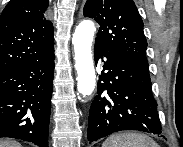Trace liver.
Instances as JSON below:
<instances>
[{"mask_svg":"<svg viewBox=\"0 0 183 147\" xmlns=\"http://www.w3.org/2000/svg\"><path fill=\"white\" fill-rule=\"evenodd\" d=\"M0 147H21V145L14 140H0Z\"/></svg>","mask_w":183,"mask_h":147,"instance_id":"obj_1","label":"liver"}]
</instances>
